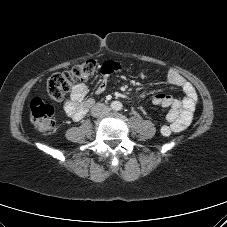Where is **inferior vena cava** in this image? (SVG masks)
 Masks as SVG:
<instances>
[{
    "label": "inferior vena cava",
    "instance_id": "602c4592",
    "mask_svg": "<svg viewBox=\"0 0 227 227\" xmlns=\"http://www.w3.org/2000/svg\"><path fill=\"white\" fill-rule=\"evenodd\" d=\"M110 111V108L106 106L105 104L97 103L93 108H92V114L94 116H104L108 114Z\"/></svg>",
    "mask_w": 227,
    "mask_h": 227
}]
</instances>
